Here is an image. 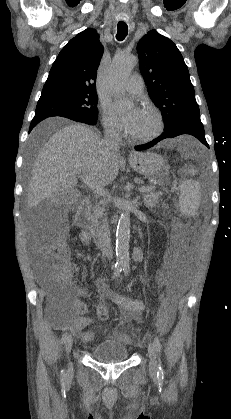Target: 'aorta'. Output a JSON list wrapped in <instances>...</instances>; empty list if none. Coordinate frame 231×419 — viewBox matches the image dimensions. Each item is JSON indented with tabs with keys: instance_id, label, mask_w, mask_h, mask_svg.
<instances>
[{
	"instance_id": "762f6f07",
	"label": "aorta",
	"mask_w": 231,
	"mask_h": 419,
	"mask_svg": "<svg viewBox=\"0 0 231 419\" xmlns=\"http://www.w3.org/2000/svg\"><path fill=\"white\" fill-rule=\"evenodd\" d=\"M137 63L132 55L121 54L114 57L108 74L109 84L113 93L120 97L121 85L129 77ZM124 105L127 103L124 102ZM130 214L122 212L116 230V260L120 267L129 266Z\"/></svg>"
}]
</instances>
